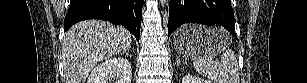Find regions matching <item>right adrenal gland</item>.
<instances>
[{"label": "right adrenal gland", "instance_id": "1", "mask_svg": "<svg viewBox=\"0 0 307 83\" xmlns=\"http://www.w3.org/2000/svg\"><path fill=\"white\" fill-rule=\"evenodd\" d=\"M126 55V56H129V49H127V50H125V51H123L122 53H121V55Z\"/></svg>", "mask_w": 307, "mask_h": 83}]
</instances>
